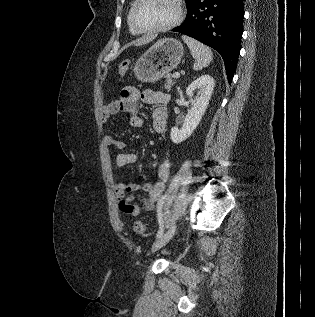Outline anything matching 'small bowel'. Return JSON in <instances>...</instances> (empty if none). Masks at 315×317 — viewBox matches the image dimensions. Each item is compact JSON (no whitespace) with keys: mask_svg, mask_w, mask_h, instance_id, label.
I'll return each instance as SVG.
<instances>
[{"mask_svg":"<svg viewBox=\"0 0 315 317\" xmlns=\"http://www.w3.org/2000/svg\"><path fill=\"white\" fill-rule=\"evenodd\" d=\"M170 100L168 94L145 90L138 91L134 87L124 88L118 99L113 100L103 106L101 120L106 123L109 118L119 112H124L128 115L129 124L132 127H141L143 119L140 116L139 103L154 105L152 112V127L156 133L162 134L167 127L168 110L167 104ZM104 143L109 147L123 149L125 144L123 141L111 136H104ZM138 156L131 152H121L115 157V165L119 168L126 167L135 163ZM171 163L169 159L162 160L157 166V181L154 183H125L122 181L115 182L116 198L119 210L130 216H138L141 208L144 211H152L156 207V203L165 189V182L170 176ZM143 191L147 196H139L141 207L134 204L132 201L134 196L132 193Z\"/></svg>","mask_w":315,"mask_h":317,"instance_id":"obj_1","label":"small bowel"}]
</instances>
